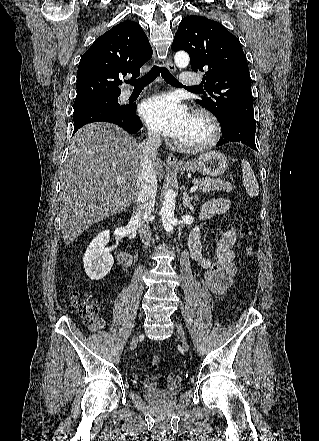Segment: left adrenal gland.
Here are the masks:
<instances>
[{"instance_id":"1","label":"left adrenal gland","mask_w":319,"mask_h":441,"mask_svg":"<svg viewBox=\"0 0 319 441\" xmlns=\"http://www.w3.org/2000/svg\"><path fill=\"white\" fill-rule=\"evenodd\" d=\"M197 200H198L197 196L195 195V196L190 197L188 195L187 189L183 186V201H182V203H183L184 208L189 209L192 212H195L194 206L196 205ZM192 203L194 206L192 205Z\"/></svg>"}]
</instances>
